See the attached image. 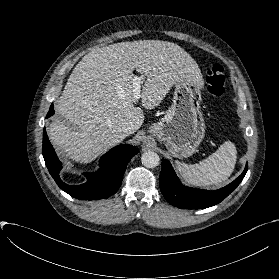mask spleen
Returning a JSON list of instances; mask_svg holds the SVG:
<instances>
[{
	"mask_svg": "<svg viewBox=\"0 0 279 279\" xmlns=\"http://www.w3.org/2000/svg\"><path fill=\"white\" fill-rule=\"evenodd\" d=\"M232 142H224L216 152L198 164L188 165L176 161V167L182 178L198 187L218 185L232 174L237 158Z\"/></svg>",
	"mask_w": 279,
	"mask_h": 279,
	"instance_id": "3e777b00",
	"label": "spleen"
}]
</instances>
